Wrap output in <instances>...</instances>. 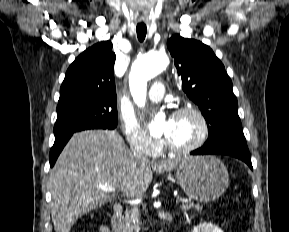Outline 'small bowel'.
<instances>
[{
	"label": "small bowel",
	"instance_id": "obj_1",
	"mask_svg": "<svg viewBox=\"0 0 289 232\" xmlns=\"http://www.w3.org/2000/svg\"><path fill=\"white\" fill-rule=\"evenodd\" d=\"M99 232H110L109 228L106 226H101Z\"/></svg>",
	"mask_w": 289,
	"mask_h": 232
}]
</instances>
